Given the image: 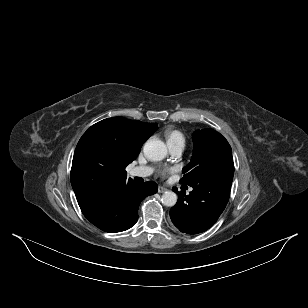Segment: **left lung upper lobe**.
<instances>
[{"label":"left lung upper lobe","instance_id":"obj_1","mask_svg":"<svg viewBox=\"0 0 308 308\" xmlns=\"http://www.w3.org/2000/svg\"><path fill=\"white\" fill-rule=\"evenodd\" d=\"M190 163L183 169L181 184L192 186L215 174L234 173L232 150L227 140L213 129L196 130Z\"/></svg>","mask_w":308,"mask_h":308}]
</instances>
